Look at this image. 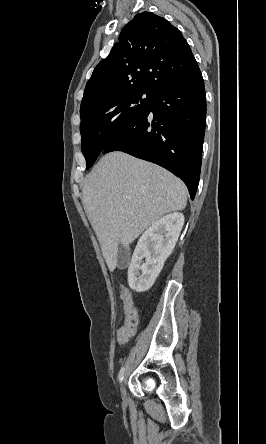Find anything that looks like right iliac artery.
Wrapping results in <instances>:
<instances>
[{"mask_svg": "<svg viewBox=\"0 0 266 444\" xmlns=\"http://www.w3.org/2000/svg\"><path fill=\"white\" fill-rule=\"evenodd\" d=\"M124 372H125V368L122 367L121 370H120V372H119V375H118L119 382H122V381H123V378H124Z\"/></svg>", "mask_w": 266, "mask_h": 444, "instance_id": "obj_1", "label": "right iliac artery"}]
</instances>
